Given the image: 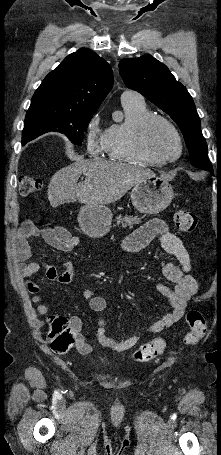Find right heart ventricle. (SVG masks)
I'll list each match as a JSON object with an SVG mask.
<instances>
[{
	"label": "right heart ventricle",
	"instance_id": "right-heart-ventricle-1",
	"mask_svg": "<svg viewBox=\"0 0 221 455\" xmlns=\"http://www.w3.org/2000/svg\"><path fill=\"white\" fill-rule=\"evenodd\" d=\"M121 101L125 111V120L107 128L104 152L111 160L141 165L158 164L142 153L135 143L136 128L145 117L152 114L151 111L145 102Z\"/></svg>",
	"mask_w": 221,
	"mask_h": 455
}]
</instances>
